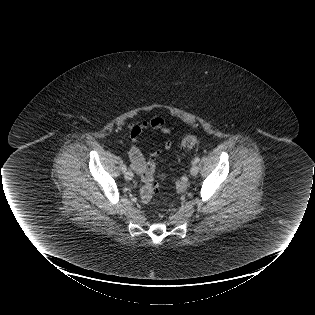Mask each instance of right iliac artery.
Returning a JSON list of instances; mask_svg holds the SVG:
<instances>
[{
  "label": "right iliac artery",
  "mask_w": 315,
  "mask_h": 315,
  "mask_svg": "<svg viewBox=\"0 0 315 315\" xmlns=\"http://www.w3.org/2000/svg\"><path fill=\"white\" fill-rule=\"evenodd\" d=\"M122 171H123V172H126V164H123V166H122Z\"/></svg>",
  "instance_id": "1"
}]
</instances>
